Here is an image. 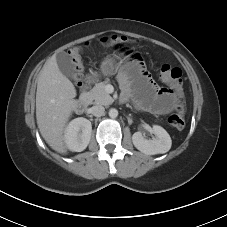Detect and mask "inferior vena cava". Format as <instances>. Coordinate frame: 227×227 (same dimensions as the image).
Wrapping results in <instances>:
<instances>
[{
    "label": "inferior vena cava",
    "instance_id": "obj_1",
    "mask_svg": "<svg viewBox=\"0 0 227 227\" xmlns=\"http://www.w3.org/2000/svg\"><path fill=\"white\" fill-rule=\"evenodd\" d=\"M91 113L96 117L103 116L105 114V108L101 105H95L91 108Z\"/></svg>",
    "mask_w": 227,
    "mask_h": 227
}]
</instances>
